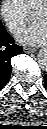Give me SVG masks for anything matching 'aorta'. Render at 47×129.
<instances>
[{"label":"aorta","mask_w":47,"mask_h":129,"mask_svg":"<svg viewBox=\"0 0 47 129\" xmlns=\"http://www.w3.org/2000/svg\"><path fill=\"white\" fill-rule=\"evenodd\" d=\"M37 59H38V64L40 65V67L46 68V66H47V51L41 50L37 55Z\"/></svg>","instance_id":"1"}]
</instances>
